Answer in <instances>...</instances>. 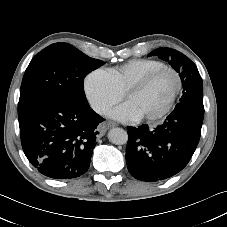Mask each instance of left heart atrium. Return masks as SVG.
<instances>
[{
	"label": "left heart atrium",
	"mask_w": 227,
	"mask_h": 227,
	"mask_svg": "<svg viewBox=\"0 0 227 227\" xmlns=\"http://www.w3.org/2000/svg\"><path fill=\"white\" fill-rule=\"evenodd\" d=\"M110 116L124 122H135L140 118L125 102L115 107Z\"/></svg>",
	"instance_id": "39dd6f15"
}]
</instances>
